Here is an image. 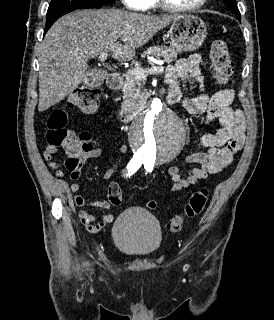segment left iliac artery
Returning <instances> with one entry per match:
<instances>
[{"label":"left iliac artery","mask_w":274,"mask_h":320,"mask_svg":"<svg viewBox=\"0 0 274 320\" xmlns=\"http://www.w3.org/2000/svg\"><path fill=\"white\" fill-rule=\"evenodd\" d=\"M144 167L148 172H151L153 170L154 162H151L149 160H144Z\"/></svg>","instance_id":"left-iliac-artery-1"}]
</instances>
